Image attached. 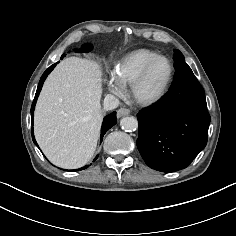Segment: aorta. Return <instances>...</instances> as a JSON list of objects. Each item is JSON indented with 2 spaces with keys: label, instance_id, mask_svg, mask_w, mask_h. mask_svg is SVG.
I'll return each instance as SVG.
<instances>
[{
  "label": "aorta",
  "instance_id": "aorta-1",
  "mask_svg": "<svg viewBox=\"0 0 236 236\" xmlns=\"http://www.w3.org/2000/svg\"><path fill=\"white\" fill-rule=\"evenodd\" d=\"M120 125L125 131H135L138 128V121L133 116H127L121 119Z\"/></svg>",
  "mask_w": 236,
  "mask_h": 236
}]
</instances>
